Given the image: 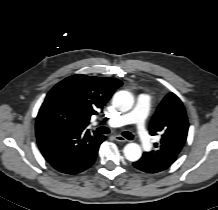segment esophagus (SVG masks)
I'll return each instance as SVG.
<instances>
[{
  "label": "esophagus",
  "mask_w": 218,
  "mask_h": 210,
  "mask_svg": "<svg viewBox=\"0 0 218 210\" xmlns=\"http://www.w3.org/2000/svg\"><path fill=\"white\" fill-rule=\"evenodd\" d=\"M114 139H115L117 142H121V143H125V142L128 141L126 138H124V137L121 136V135H115V136H114Z\"/></svg>",
  "instance_id": "1"
}]
</instances>
